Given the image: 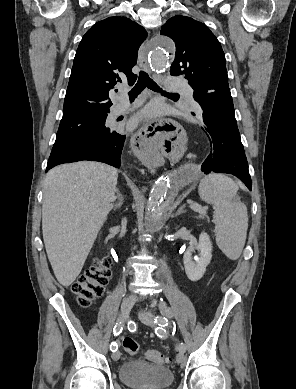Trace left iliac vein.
Returning a JSON list of instances; mask_svg holds the SVG:
<instances>
[{
    "label": "left iliac vein",
    "instance_id": "1",
    "mask_svg": "<svg viewBox=\"0 0 296 389\" xmlns=\"http://www.w3.org/2000/svg\"><path fill=\"white\" fill-rule=\"evenodd\" d=\"M139 319L146 325L154 326V315L149 311H143L139 314ZM185 360L184 352L180 351L176 355L177 363L181 364Z\"/></svg>",
    "mask_w": 296,
    "mask_h": 389
}]
</instances>
